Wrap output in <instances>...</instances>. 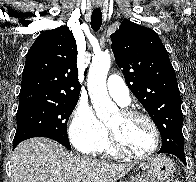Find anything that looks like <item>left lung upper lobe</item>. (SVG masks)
<instances>
[{"label": "left lung upper lobe", "mask_w": 196, "mask_h": 182, "mask_svg": "<svg viewBox=\"0 0 196 182\" xmlns=\"http://www.w3.org/2000/svg\"><path fill=\"white\" fill-rule=\"evenodd\" d=\"M111 41L126 84L160 131V152H184L180 92L168 52L158 34L124 20L111 35Z\"/></svg>", "instance_id": "obj_1"}]
</instances>
